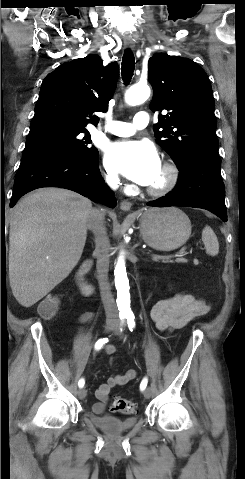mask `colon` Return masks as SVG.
I'll return each instance as SVG.
<instances>
[{
  "label": "colon",
  "instance_id": "colon-1",
  "mask_svg": "<svg viewBox=\"0 0 245 479\" xmlns=\"http://www.w3.org/2000/svg\"><path fill=\"white\" fill-rule=\"evenodd\" d=\"M59 310V300L56 296L46 297L39 306V313L45 319L53 318ZM113 409L122 414L134 413L137 409L136 404L120 396H114Z\"/></svg>",
  "mask_w": 245,
  "mask_h": 479
}]
</instances>
